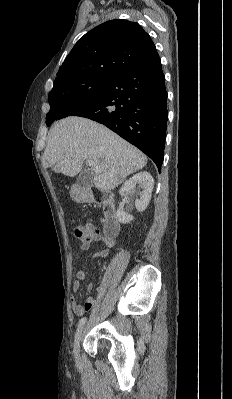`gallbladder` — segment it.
<instances>
[{
	"label": "gallbladder",
	"mask_w": 232,
	"mask_h": 399,
	"mask_svg": "<svg viewBox=\"0 0 232 399\" xmlns=\"http://www.w3.org/2000/svg\"><path fill=\"white\" fill-rule=\"evenodd\" d=\"M82 169L84 170V172H81V174H79L77 178V184H80L81 188H90V186H92L93 178L90 172L85 171L89 169V164L83 163Z\"/></svg>",
	"instance_id": "gallbladder-1"
}]
</instances>
